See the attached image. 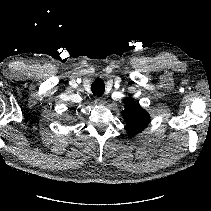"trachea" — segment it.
<instances>
[{
    "label": "trachea",
    "mask_w": 211,
    "mask_h": 211,
    "mask_svg": "<svg viewBox=\"0 0 211 211\" xmlns=\"http://www.w3.org/2000/svg\"><path fill=\"white\" fill-rule=\"evenodd\" d=\"M91 90L94 95L102 96L105 91V84L101 78H97L91 85Z\"/></svg>",
    "instance_id": "3493384b"
}]
</instances>
